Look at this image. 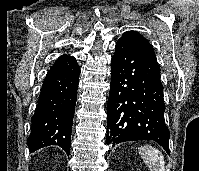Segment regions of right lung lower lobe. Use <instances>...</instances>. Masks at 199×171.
<instances>
[{"mask_svg":"<svg viewBox=\"0 0 199 171\" xmlns=\"http://www.w3.org/2000/svg\"><path fill=\"white\" fill-rule=\"evenodd\" d=\"M80 68L73 56L59 57L48 71L31 118V152L58 145L69 155Z\"/></svg>","mask_w":199,"mask_h":171,"instance_id":"98d812e1","label":"right lung lower lobe"}]
</instances>
